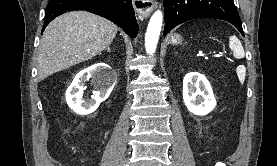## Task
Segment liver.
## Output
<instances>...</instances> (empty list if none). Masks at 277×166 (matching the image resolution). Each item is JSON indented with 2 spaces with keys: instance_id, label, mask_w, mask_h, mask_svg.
<instances>
[{
  "instance_id": "liver-1",
  "label": "liver",
  "mask_w": 277,
  "mask_h": 166,
  "mask_svg": "<svg viewBox=\"0 0 277 166\" xmlns=\"http://www.w3.org/2000/svg\"><path fill=\"white\" fill-rule=\"evenodd\" d=\"M117 31L111 21L86 11L57 17L41 39L38 80L95 57L111 44Z\"/></svg>"
}]
</instances>
